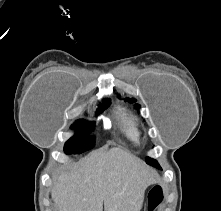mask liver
Returning a JSON list of instances; mask_svg holds the SVG:
<instances>
[{
	"label": "liver",
	"instance_id": "obj_1",
	"mask_svg": "<svg viewBox=\"0 0 221 211\" xmlns=\"http://www.w3.org/2000/svg\"><path fill=\"white\" fill-rule=\"evenodd\" d=\"M150 167L119 148L98 149L70 171L63 168L51 189L58 211H140L155 183Z\"/></svg>",
	"mask_w": 221,
	"mask_h": 211
}]
</instances>
